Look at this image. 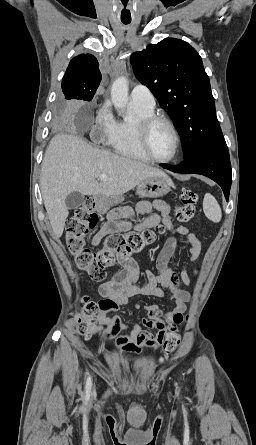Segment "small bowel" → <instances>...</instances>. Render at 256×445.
Segmentation results:
<instances>
[{"instance_id":"small-bowel-1","label":"small bowel","mask_w":256,"mask_h":445,"mask_svg":"<svg viewBox=\"0 0 256 445\" xmlns=\"http://www.w3.org/2000/svg\"><path fill=\"white\" fill-rule=\"evenodd\" d=\"M156 214L146 217L139 225V229H148L158 224H164L172 234L182 235L189 244L187 262L194 263L200 254L201 244L197 236L187 227L174 224L169 218V207L162 200H155L152 203ZM148 205L140 203L138 211H145ZM132 224L129 221L107 222L92 237L91 245L96 247L102 239L111 233L126 232L130 230ZM177 248V239L172 236L167 239L156 259L158 273L147 272L145 280L138 282L139 269L136 262L128 258H118V262L123 269L106 280L99 286V293L104 298L100 302V311L97 315L99 323L107 324L111 335H117L122 331H129L128 335L117 338L116 344L126 351L131 357L138 354L143 349H153L163 340L166 332L174 330L177 323L176 317L182 315L186 304L190 301L191 295L188 291L181 289L179 282L190 285L192 278L188 269L184 267L177 275L171 267V259ZM198 271L195 270L194 274ZM134 296H154L166 298L173 303L171 309L162 310L155 304H147L143 307L144 316L140 321L125 323L117 314L119 306L128 304L129 299ZM140 308L139 304H135ZM112 312L111 317L108 313ZM157 328L158 333L152 334L146 329Z\"/></svg>"}]
</instances>
